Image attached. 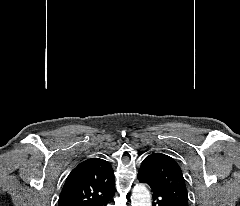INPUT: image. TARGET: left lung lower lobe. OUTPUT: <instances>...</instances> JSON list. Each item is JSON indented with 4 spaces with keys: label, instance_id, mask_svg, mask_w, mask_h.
I'll use <instances>...</instances> for the list:
<instances>
[{
    "label": "left lung lower lobe",
    "instance_id": "0a47b994",
    "mask_svg": "<svg viewBox=\"0 0 240 206\" xmlns=\"http://www.w3.org/2000/svg\"><path fill=\"white\" fill-rule=\"evenodd\" d=\"M137 177L140 182L147 183L150 186L153 193V206H175L170 199L153 184L146 170L140 169Z\"/></svg>",
    "mask_w": 240,
    "mask_h": 206
}]
</instances>
